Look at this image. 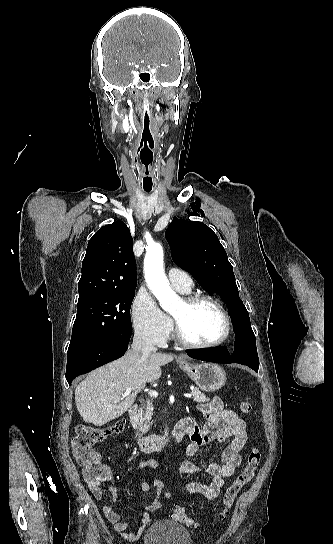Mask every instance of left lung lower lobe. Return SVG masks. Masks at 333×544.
<instances>
[{
    "instance_id": "0a47b994",
    "label": "left lung lower lobe",
    "mask_w": 333,
    "mask_h": 544,
    "mask_svg": "<svg viewBox=\"0 0 333 544\" xmlns=\"http://www.w3.org/2000/svg\"><path fill=\"white\" fill-rule=\"evenodd\" d=\"M187 354L192 358L204 361L247 365L256 372H258L259 368V360L255 347L252 349L242 348L240 350V355H237V352H235L232 356H229V353H227V350L223 347L212 350L190 349L187 350Z\"/></svg>"
}]
</instances>
